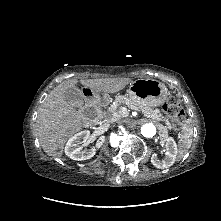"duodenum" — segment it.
<instances>
[{"instance_id":"obj_1","label":"duodenum","mask_w":221,"mask_h":221,"mask_svg":"<svg viewBox=\"0 0 221 221\" xmlns=\"http://www.w3.org/2000/svg\"><path fill=\"white\" fill-rule=\"evenodd\" d=\"M82 95L86 98V107L84 116L88 120L96 119L98 111L102 109V104L109 103L113 100L114 95L111 91L104 88H93L86 85L81 90ZM96 108V110H94Z\"/></svg>"}]
</instances>
